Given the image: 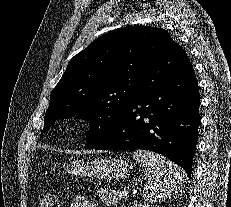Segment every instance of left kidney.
Listing matches in <instances>:
<instances>
[{"mask_svg": "<svg viewBox=\"0 0 231 207\" xmlns=\"http://www.w3.org/2000/svg\"><path fill=\"white\" fill-rule=\"evenodd\" d=\"M130 207H150L149 205H146V204H134V205H132V206H130Z\"/></svg>", "mask_w": 231, "mask_h": 207, "instance_id": "1", "label": "left kidney"}]
</instances>
